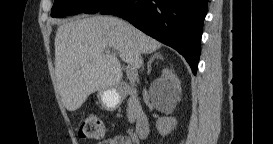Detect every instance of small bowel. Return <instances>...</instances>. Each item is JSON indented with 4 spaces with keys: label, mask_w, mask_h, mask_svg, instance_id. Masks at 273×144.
<instances>
[{
    "label": "small bowel",
    "mask_w": 273,
    "mask_h": 144,
    "mask_svg": "<svg viewBox=\"0 0 273 144\" xmlns=\"http://www.w3.org/2000/svg\"><path fill=\"white\" fill-rule=\"evenodd\" d=\"M104 143L106 144H132V139L127 135H117L108 140Z\"/></svg>",
    "instance_id": "1"
}]
</instances>
